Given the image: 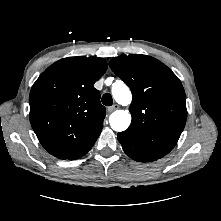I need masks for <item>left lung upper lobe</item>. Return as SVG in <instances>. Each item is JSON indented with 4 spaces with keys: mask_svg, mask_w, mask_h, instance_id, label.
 <instances>
[{
    "mask_svg": "<svg viewBox=\"0 0 221 221\" xmlns=\"http://www.w3.org/2000/svg\"><path fill=\"white\" fill-rule=\"evenodd\" d=\"M110 68L131 89L132 122L120 134L146 155L159 159L177 144L187 109L178 77L159 60L146 55L113 58Z\"/></svg>",
    "mask_w": 221,
    "mask_h": 221,
    "instance_id": "left-lung-upper-lobe-1",
    "label": "left lung upper lobe"
}]
</instances>
